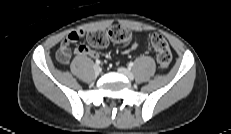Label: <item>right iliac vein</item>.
<instances>
[{"label":"right iliac vein","instance_id":"1","mask_svg":"<svg viewBox=\"0 0 231 134\" xmlns=\"http://www.w3.org/2000/svg\"><path fill=\"white\" fill-rule=\"evenodd\" d=\"M93 70H94L95 75H99L101 72V68L98 65H94Z\"/></svg>","mask_w":231,"mask_h":134}]
</instances>
